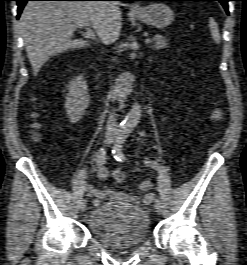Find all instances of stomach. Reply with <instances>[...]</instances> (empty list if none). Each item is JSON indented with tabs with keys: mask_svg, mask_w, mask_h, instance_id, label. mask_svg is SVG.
Instances as JSON below:
<instances>
[{
	"mask_svg": "<svg viewBox=\"0 0 247 265\" xmlns=\"http://www.w3.org/2000/svg\"><path fill=\"white\" fill-rule=\"evenodd\" d=\"M143 23L162 29L169 26L174 20L172 9L164 3H153L134 12Z\"/></svg>",
	"mask_w": 247,
	"mask_h": 265,
	"instance_id": "0dacf381",
	"label": "stomach"
}]
</instances>
